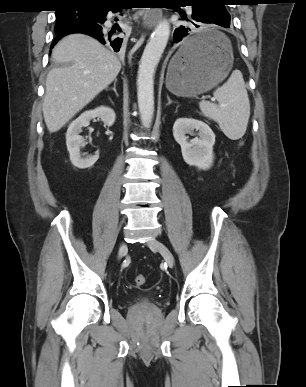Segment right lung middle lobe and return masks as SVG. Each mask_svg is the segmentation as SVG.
Returning a JSON list of instances; mask_svg holds the SVG:
<instances>
[{
  "label": "right lung middle lobe",
  "mask_w": 306,
  "mask_h": 387,
  "mask_svg": "<svg viewBox=\"0 0 306 387\" xmlns=\"http://www.w3.org/2000/svg\"><path fill=\"white\" fill-rule=\"evenodd\" d=\"M95 8L86 7L84 9L73 10L71 8H64L56 11V26L55 31H61L72 27L76 24L86 22L91 10Z\"/></svg>",
  "instance_id": "1"
}]
</instances>
